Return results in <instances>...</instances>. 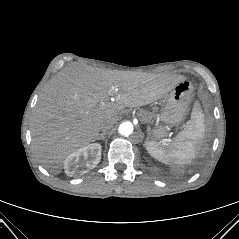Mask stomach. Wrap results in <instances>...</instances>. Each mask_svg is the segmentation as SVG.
Here are the masks:
<instances>
[{
	"mask_svg": "<svg viewBox=\"0 0 239 239\" xmlns=\"http://www.w3.org/2000/svg\"><path fill=\"white\" fill-rule=\"evenodd\" d=\"M192 89L191 82L181 81L160 101L162 124L154 128V139L166 137L168 135L166 126L178 125L185 119Z\"/></svg>",
	"mask_w": 239,
	"mask_h": 239,
	"instance_id": "1",
	"label": "stomach"
}]
</instances>
